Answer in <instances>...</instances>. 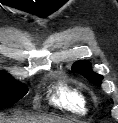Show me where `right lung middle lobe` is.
<instances>
[{"label": "right lung middle lobe", "instance_id": "right-lung-middle-lobe-1", "mask_svg": "<svg viewBox=\"0 0 118 123\" xmlns=\"http://www.w3.org/2000/svg\"><path fill=\"white\" fill-rule=\"evenodd\" d=\"M27 92L26 86L14 80L6 72H0V108L15 104Z\"/></svg>", "mask_w": 118, "mask_h": 123}]
</instances>
